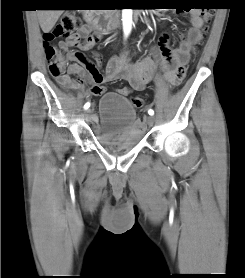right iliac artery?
Here are the masks:
<instances>
[{
	"mask_svg": "<svg viewBox=\"0 0 245 278\" xmlns=\"http://www.w3.org/2000/svg\"><path fill=\"white\" fill-rule=\"evenodd\" d=\"M90 107V103L87 102L85 105H84V109H88Z\"/></svg>",
	"mask_w": 245,
	"mask_h": 278,
	"instance_id": "right-iliac-artery-1",
	"label": "right iliac artery"
}]
</instances>
